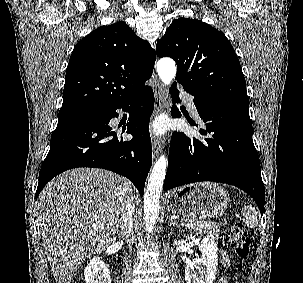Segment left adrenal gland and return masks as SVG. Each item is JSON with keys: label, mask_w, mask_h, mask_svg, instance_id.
<instances>
[{"label": "left adrenal gland", "mask_w": 303, "mask_h": 283, "mask_svg": "<svg viewBox=\"0 0 303 283\" xmlns=\"http://www.w3.org/2000/svg\"><path fill=\"white\" fill-rule=\"evenodd\" d=\"M170 221H171V222H170V226H175V225L178 226V223H177L176 220L171 219Z\"/></svg>", "instance_id": "a2214340"}]
</instances>
